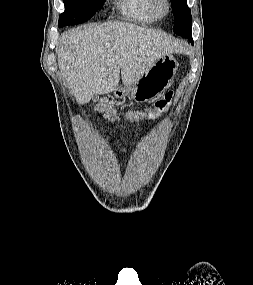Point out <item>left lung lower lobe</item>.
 I'll return each mask as SVG.
<instances>
[{
    "mask_svg": "<svg viewBox=\"0 0 253 285\" xmlns=\"http://www.w3.org/2000/svg\"><path fill=\"white\" fill-rule=\"evenodd\" d=\"M187 38L191 41V43L193 44V40H192V33L191 34H189L188 36H187Z\"/></svg>",
    "mask_w": 253,
    "mask_h": 285,
    "instance_id": "1",
    "label": "left lung lower lobe"
}]
</instances>
